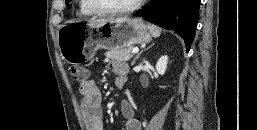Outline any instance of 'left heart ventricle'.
Returning a JSON list of instances; mask_svg holds the SVG:
<instances>
[{"label":"left heart ventricle","instance_id":"obj_1","mask_svg":"<svg viewBox=\"0 0 257 130\" xmlns=\"http://www.w3.org/2000/svg\"><path fill=\"white\" fill-rule=\"evenodd\" d=\"M102 8H122L131 5L135 0H92Z\"/></svg>","mask_w":257,"mask_h":130}]
</instances>
